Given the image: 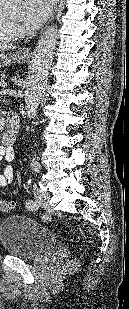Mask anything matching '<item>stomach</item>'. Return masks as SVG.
Returning <instances> with one entry per match:
<instances>
[{
  "label": "stomach",
  "instance_id": "0dacf381",
  "mask_svg": "<svg viewBox=\"0 0 129 309\" xmlns=\"http://www.w3.org/2000/svg\"><path fill=\"white\" fill-rule=\"evenodd\" d=\"M29 59L28 55H25L23 52H17L14 54H5L4 52L0 53V68L11 65L12 63H25Z\"/></svg>",
  "mask_w": 129,
  "mask_h": 309
}]
</instances>
